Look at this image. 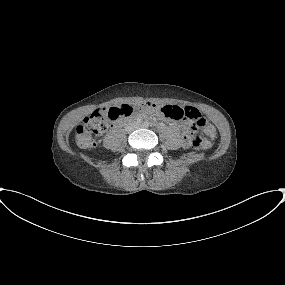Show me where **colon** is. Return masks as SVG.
<instances>
[{
  "label": "colon",
  "mask_w": 285,
  "mask_h": 285,
  "mask_svg": "<svg viewBox=\"0 0 285 285\" xmlns=\"http://www.w3.org/2000/svg\"><path fill=\"white\" fill-rule=\"evenodd\" d=\"M140 110L159 113L172 121H184L187 124L195 123L197 127H205L206 133L213 137L215 129L212 125H205L197 109L178 105H159L154 102H141L135 104H123L110 109L99 107L88 115L76 129L77 144L84 149L95 147L100 136L106 131L110 122L125 119ZM186 144L194 149H203L209 146V142L202 135L190 130L185 131Z\"/></svg>",
  "instance_id": "5ec220e1"
}]
</instances>
